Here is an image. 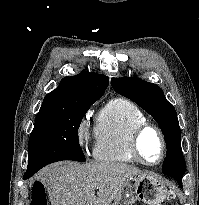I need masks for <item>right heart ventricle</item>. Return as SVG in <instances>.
<instances>
[{
  "instance_id": "right-heart-ventricle-1",
  "label": "right heart ventricle",
  "mask_w": 199,
  "mask_h": 205,
  "mask_svg": "<svg viewBox=\"0 0 199 205\" xmlns=\"http://www.w3.org/2000/svg\"><path fill=\"white\" fill-rule=\"evenodd\" d=\"M145 123V114L131 101L114 98L107 102L98 115L95 159L116 164L136 163L129 150V140L132 131Z\"/></svg>"
}]
</instances>
